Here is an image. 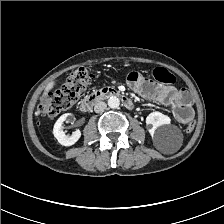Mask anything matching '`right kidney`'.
Masks as SVG:
<instances>
[{"label": "right kidney", "mask_w": 224, "mask_h": 224, "mask_svg": "<svg viewBox=\"0 0 224 224\" xmlns=\"http://www.w3.org/2000/svg\"><path fill=\"white\" fill-rule=\"evenodd\" d=\"M65 121L74 122L75 121L74 115L71 113H66L60 116V118L56 121L54 125L53 134L61 145L71 146L79 140V138L81 137V132L79 129H77L75 132L72 133L71 136L66 135L62 129V124Z\"/></svg>", "instance_id": "right-kidney-1"}]
</instances>
